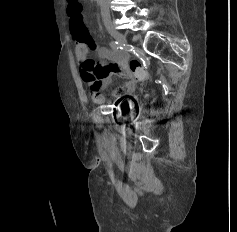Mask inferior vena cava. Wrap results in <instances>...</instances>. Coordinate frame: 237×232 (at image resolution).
<instances>
[{"label": "inferior vena cava", "mask_w": 237, "mask_h": 232, "mask_svg": "<svg viewBox=\"0 0 237 232\" xmlns=\"http://www.w3.org/2000/svg\"><path fill=\"white\" fill-rule=\"evenodd\" d=\"M101 6V16L104 22L110 20V0H97Z\"/></svg>", "instance_id": "inferior-vena-cava-1"}]
</instances>
